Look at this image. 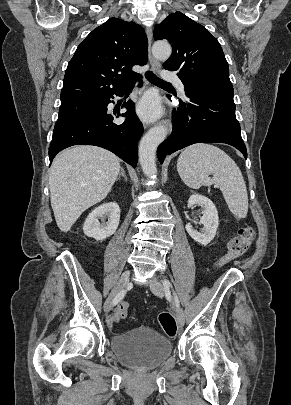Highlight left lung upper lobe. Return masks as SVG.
Wrapping results in <instances>:
<instances>
[{
  "label": "left lung upper lobe",
  "instance_id": "left-lung-upper-lobe-1",
  "mask_svg": "<svg viewBox=\"0 0 291 405\" xmlns=\"http://www.w3.org/2000/svg\"><path fill=\"white\" fill-rule=\"evenodd\" d=\"M154 39H167L171 43L173 52L163 67L177 71L183 84L232 86L218 40L183 13H172L156 26Z\"/></svg>",
  "mask_w": 291,
  "mask_h": 405
}]
</instances>
